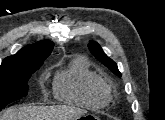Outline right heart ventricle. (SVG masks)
<instances>
[{
	"label": "right heart ventricle",
	"instance_id": "1",
	"mask_svg": "<svg viewBox=\"0 0 165 120\" xmlns=\"http://www.w3.org/2000/svg\"><path fill=\"white\" fill-rule=\"evenodd\" d=\"M53 89L59 100L89 107L105 106L111 99L109 84L83 57L73 58L57 72Z\"/></svg>",
	"mask_w": 165,
	"mask_h": 120
}]
</instances>
